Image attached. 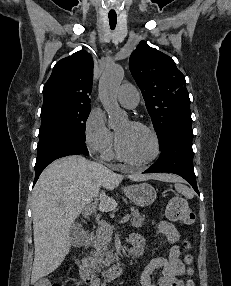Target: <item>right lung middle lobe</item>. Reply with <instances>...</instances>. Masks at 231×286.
Segmentation results:
<instances>
[{
    "instance_id": "obj_1",
    "label": "right lung middle lobe",
    "mask_w": 231,
    "mask_h": 286,
    "mask_svg": "<svg viewBox=\"0 0 231 286\" xmlns=\"http://www.w3.org/2000/svg\"><path fill=\"white\" fill-rule=\"evenodd\" d=\"M91 105L55 103L41 109L38 147L58 138H75L85 142V122Z\"/></svg>"
}]
</instances>
